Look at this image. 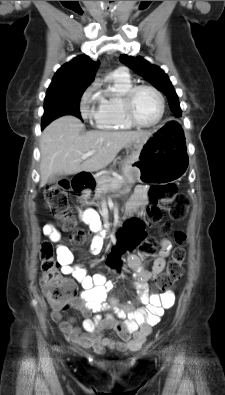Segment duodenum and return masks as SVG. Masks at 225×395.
Wrapping results in <instances>:
<instances>
[{
  "instance_id": "1",
  "label": "duodenum",
  "mask_w": 225,
  "mask_h": 395,
  "mask_svg": "<svg viewBox=\"0 0 225 395\" xmlns=\"http://www.w3.org/2000/svg\"><path fill=\"white\" fill-rule=\"evenodd\" d=\"M74 187L77 191L82 192L93 188L94 183L90 175L86 173H78L73 180Z\"/></svg>"
}]
</instances>
